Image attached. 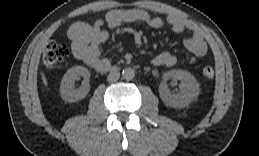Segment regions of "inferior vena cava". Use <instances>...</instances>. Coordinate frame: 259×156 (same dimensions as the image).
I'll return each mask as SVG.
<instances>
[{
    "instance_id": "obj_1",
    "label": "inferior vena cava",
    "mask_w": 259,
    "mask_h": 156,
    "mask_svg": "<svg viewBox=\"0 0 259 156\" xmlns=\"http://www.w3.org/2000/svg\"><path fill=\"white\" fill-rule=\"evenodd\" d=\"M120 78V73L118 71H112L107 77L108 82H116Z\"/></svg>"
}]
</instances>
